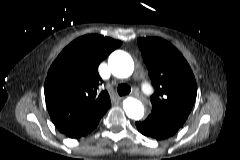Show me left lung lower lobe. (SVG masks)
Returning a JSON list of instances; mask_svg holds the SVG:
<instances>
[{
  "instance_id": "obj_1",
  "label": "left lung lower lobe",
  "mask_w": 240,
  "mask_h": 160,
  "mask_svg": "<svg viewBox=\"0 0 240 160\" xmlns=\"http://www.w3.org/2000/svg\"><path fill=\"white\" fill-rule=\"evenodd\" d=\"M136 127L138 131L144 136L158 141L168 139L175 135V132L161 126L153 119H151L150 116H148L143 121H137Z\"/></svg>"
}]
</instances>
